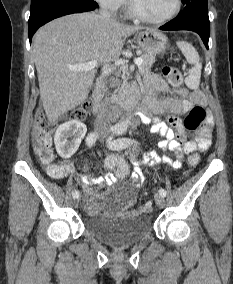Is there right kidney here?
<instances>
[{
  "instance_id": "1",
  "label": "right kidney",
  "mask_w": 233,
  "mask_h": 284,
  "mask_svg": "<svg viewBox=\"0 0 233 284\" xmlns=\"http://www.w3.org/2000/svg\"><path fill=\"white\" fill-rule=\"evenodd\" d=\"M86 132V125L78 121H68L60 125L54 136L57 153L62 158H70L78 150Z\"/></svg>"
}]
</instances>
